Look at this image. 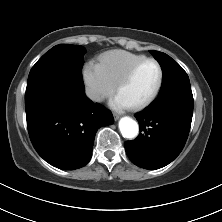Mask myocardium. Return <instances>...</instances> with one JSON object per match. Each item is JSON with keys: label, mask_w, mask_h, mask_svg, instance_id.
Returning <instances> with one entry per match:
<instances>
[{"label": "myocardium", "mask_w": 222, "mask_h": 222, "mask_svg": "<svg viewBox=\"0 0 222 222\" xmlns=\"http://www.w3.org/2000/svg\"><path fill=\"white\" fill-rule=\"evenodd\" d=\"M148 62H152L157 66L158 72H159L158 82H157L155 89L153 90L151 95L146 100H144L141 103L132 105L130 107L131 109H133L135 111L142 110V109L148 107L157 98V96L162 88L163 79H164V72H163V68H162L161 64L156 59L145 58V59L137 62L136 64H134L115 85V91L118 92L121 88H123L125 85H127L131 81V79L133 78V76L135 75L137 70L142 65H144L145 63H148Z\"/></svg>", "instance_id": "myocardium-1"}]
</instances>
